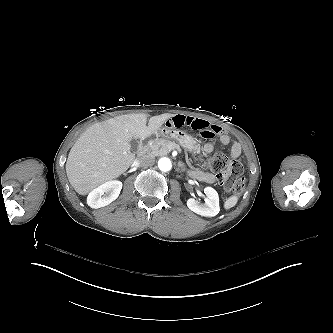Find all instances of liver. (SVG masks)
Returning <instances> with one entry per match:
<instances>
[{
  "instance_id": "liver-1",
  "label": "liver",
  "mask_w": 333,
  "mask_h": 333,
  "mask_svg": "<svg viewBox=\"0 0 333 333\" xmlns=\"http://www.w3.org/2000/svg\"><path fill=\"white\" fill-rule=\"evenodd\" d=\"M147 114H126L90 126L71 148L66 173L80 195L119 177L135 160L132 139H146L174 114L164 113L149 119Z\"/></svg>"
}]
</instances>
